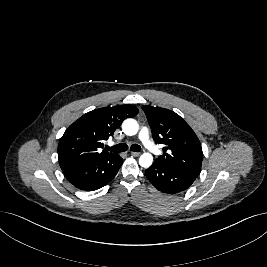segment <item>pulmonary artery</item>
Returning a JSON list of instances; mask_svg holds the SVG:
<instances>
[{"label": "pulmonary artery", "mask_w": 267, "mask_h": 267, "mask_svg": "<svg viewBox=\"0 0 267 267\" xmlns=\"http://www.w3.org/2000/svg\"><path fill=\"white\" fill-rule=\"evenodd\" d=\"M139 140L144 144V146L150 150L152 153H157V148L150 140L149 131L146 127H143L138 135Z\"/></svg>", "instance_id": "1"}]
</instances>
